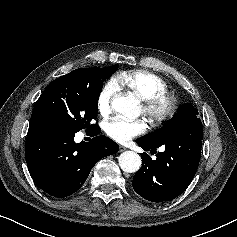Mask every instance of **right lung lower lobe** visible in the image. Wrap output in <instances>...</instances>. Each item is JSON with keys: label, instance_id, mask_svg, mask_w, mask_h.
I'll use <instances>...</instances> for the list:
<instances>
[{"label": "right lung lower lobe", "instance_id": "1", "mask_svg": "<svg viewBox=\"0 0 237 237\" xmlns=\"http://www.w3.org/2000/svg\"><path fill=\"white\" fill-rule=\"evenodd\" d=\"M90 142L75 143L76 132L35 125L29 127L25 157L35 183L54 197H67L86 181L93 166L103 157L115 154L118 144L106 136H97L101 130L90 131Z\"/></svg>", "mask_w": 237, "mask_h": 237}]
</instances>
